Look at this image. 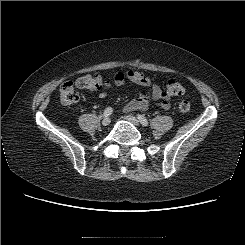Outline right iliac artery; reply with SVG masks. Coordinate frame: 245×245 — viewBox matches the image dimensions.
Segmentation results:
<instances>
[{
  "mask_svg": "<svg viewBox=\"0 0 245 245\" xmlns=\"http://www.w3.org/2000/svg\"><path fill=\"white\" fill-rule=\"evenodd\" d=\"M112 112H113V109L111 107H108L104 110L103 116L108 117L112 114Z\"/></svg>",
  "mask_w": 245,
  "mask_h": 245,
  "instance_id": "right-iliac-artery-1",
  "label": "right iliac artery"
}]
</instances>
